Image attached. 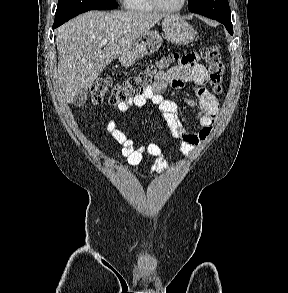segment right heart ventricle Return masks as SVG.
Wrapping results in <instances>:
<instances>
[{"label":"right heart ventricle","instance_id":"obj_1","mask_svg":"<svg viewBox=\"0 0 288 293\" xmlns=\"http://www.w3.org/2000/svg\"><path fill=\"white\" fill-rule=\"evenodd\" d=\"M127 10L136 12H151L155 10L150 0H123Z\"/></svg>","mask_w":288,"mask_h":293}]
</instances>
